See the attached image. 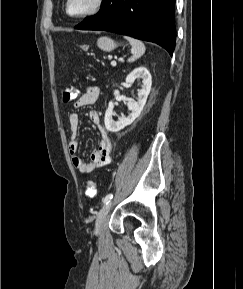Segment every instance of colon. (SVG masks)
<instances>
[{"label": "colon", "instance_id": "1", "mask_svg": "<svg viewBox=\"0 0 243 289\" xmlns=\"http://www.w3.org/2000/svg\"><path fill=\"white\" fill-rule=\"evenodd\" d=\"M78 95L77 89L73 85H67L62 90V101L64 103L72 102ZM97 193L96 184L89 181L86 185L85 194L88 198L95 197Z\"/></svg>", "mask_w": 243, "mask_h": 289}]
</instances>
